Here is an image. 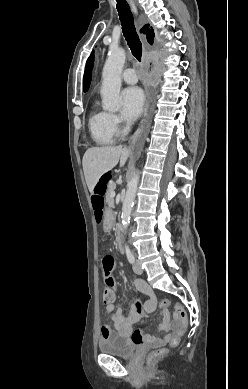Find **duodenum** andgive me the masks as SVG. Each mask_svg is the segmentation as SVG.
Wrapping results in <instances>:
<instances>
[{"mask_svg":"<svg viewBox=\"0 0 248 389\" xmlns=\"http://www.w3.org/2000/svg\"><path fill=\"white\" fill-rule=\"evenodd\" d=\"M117 246H118V250L120 252L124 251L123 240H122V236L120 233L118 234V237H117Z\"/></svg>","mask_w":248,"mask_h":389,"instance_id":"duodenum-1","label":"duodenum"}]
</instances>
